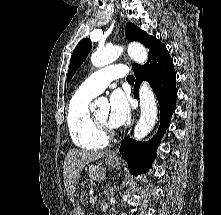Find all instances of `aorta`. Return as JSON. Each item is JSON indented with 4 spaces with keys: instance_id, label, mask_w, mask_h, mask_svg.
Wrapping results in <instances>:
<instances>
[{
    "instance_id": "1",
    "label": "aorta",
    "mask_w": 221,
    "mask_h": 215,
    "mask_svg": "<svg viewBox=\"0 0 221 215\" xmlns=\"http://www.w3.org/2000/svg\"><path fill=\"white\" fill-rule=\"evenodd\" d=\"M123 52V47L114 45L98 50L91 55V63L95 67L108 65L118 59ZM128 55L138 64L146 63L148 53L146 48L140 43H130L128 45ZM139 101L141 116L134 128V138L143 139L153 128L157 118V106L155 95L146 82H143L139 91Z\"/></svg>"
}]
</instances>
